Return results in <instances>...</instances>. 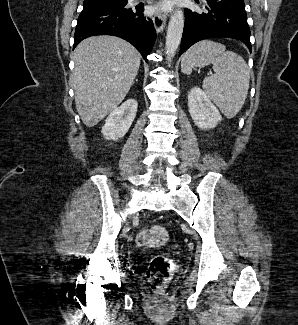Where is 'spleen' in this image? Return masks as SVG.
Masks as SVG:
<instances>
[{
  "instance_id": "obj_1",
  "label": "spleen",
  "mask_w": 298,
  "mask_h": 325,
  "mask_svg": "<svg viewBox=\"0 0 298 325\" xmlns=\"http://www.w3.org/2000/svg\"><path fill=\"white\" fill-rule=\"evenodd\" d=\"M182 72L191 74L194 66L212 64L215 74L206 76L203 88L226 118H233L241 110L248 94L250 72L243 56L214 40H199L184 54Z\"/></svg>"
}]
</instances>
